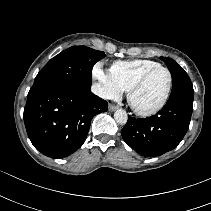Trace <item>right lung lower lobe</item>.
Masks as SVG:
<instances>
[{"label":"right lung lower lobe","mask_w":211,"mask_h":211,"mask_svg":"<svg viewBox=\"0 0 211 211\" xmlns=\"http://www.w3.org/2000/svg\"><path fill=\"white\" fill-rule=\"evenodd\" d=\"M107 109L90 90L39 84L28 93L23 117L33 146L45 156L64 158L84 143L93 116Z\"/></svg>","instance_id":"right-lung-lower-lobe-1"}]
</instances>
